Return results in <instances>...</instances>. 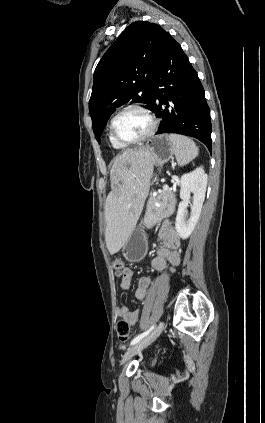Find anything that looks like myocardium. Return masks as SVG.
I'll use <instances>...</instances> for the list:
<instances>
[{"label": "myocardium", "mask_w": 265, "mask_h": 423, "mask_svg": "<svg viewBox=\"0 0 265 423\" xmlns=\"http://www.w3.org/2000/svg\"><path fill=\"white\" fill-rule=\"evenodd\" d=\"M130 110H135V111H139V112L143 113L149 119L150 127H149V130L143 136H141V137H139L135 140L126 141V140L119 138L116 135L115 130H114V124H115L116 119L121 114H123L127 111H130ZM157 126H158V121H157L155 115L152 113V111L144 105L134 103V104H129V105L122 107L121 109H119L114 114V116L110 120L109 132H110L111 137L116 142H118L119 144L124 145V146H129V145H135V144L146 141L148 138H150L152 135H154V133L157 130Z\"/></svg>", "instance_id": "obj_1"}]
</instances>
